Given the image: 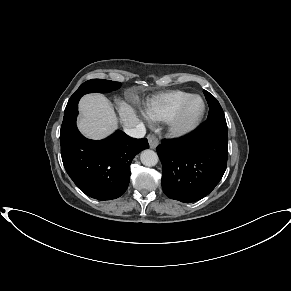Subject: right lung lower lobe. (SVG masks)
<instances>
[{
	"instance_id": "1",
	"label": "right lung lower lobe",
	"mask_w": 291,
	"mask_h": 291,
	"mask_svg": "<svg viewBox=\"0 0 291 291\" xmlns=\"http://www.w3.org/2000/svg\"><path fill=\"white\" fill-rule=\"evenodd\" d=\"M74 113H64L60 130L63 165L77 187L98 200L120 197L130 180V164L149 148L147 139H134L117 130L100 141L85 138L77 129L78 103Z\"/></svg>"
}]
</instances>
